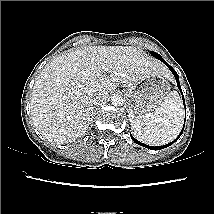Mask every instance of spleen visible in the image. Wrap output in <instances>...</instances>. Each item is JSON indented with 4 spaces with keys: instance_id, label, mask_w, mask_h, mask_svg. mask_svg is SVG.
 Wrapping results in <instances>:
<instances>
[{
    "instance_id": "3e777b00",
    "label": "spleen",
    "mask_w": 214,
    "mask_h": 214,
    "mask_svg": "<svg viewBox=\"0 0 214 214\" xmlns=\"http://www.w3.org/2000/svg\"><path fill=\"white\" fill-rule=\"evenodd\" d=\"M183 121L182 100L176 91H172L152 114L132 119L131 129L141 142L159 146L171 142L178 136Z\"/></svg>"
}]
</instances>
